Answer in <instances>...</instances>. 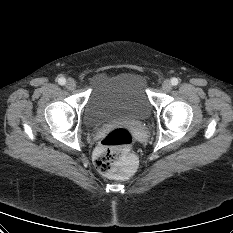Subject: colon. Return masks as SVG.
Masks as SVG:
<instances>
[{"label":"colon","instance_id":"1","mask_svg":"<svg viewBox=\"0 0 233 233\" xmlns=\"http://www.w3.org/2000/svg\"><path fill=\"white\" fill-rule=\"evenodd\" d=\"M133 133L125 127L112 128L100 141L94 163L102 174L125 178L134 166L130 152L134 144Z\"/></svg>","mask_w":233,"mask_h":233}]
</instances>
